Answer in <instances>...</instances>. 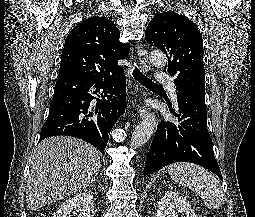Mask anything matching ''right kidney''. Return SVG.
I'll use <instances>...</instances> for the list:
<instances>
[{
  "label": "right kidney",
  "instance_id": "ca27d5eb",
  "mask_svg": "<svg viewBox=\"0 0 255 217\" xmlns=\"http://www.w3.org/2000/svg\"><path fill=\"white\" fill-rule=\"evenodd\" d=\"M73 212L77 217H94L93 196L88 192H81L65 200L53 217H70Z\"/></svg>",
  "mask_w": 255,
  "mask_h": 217
}]
</instances>
